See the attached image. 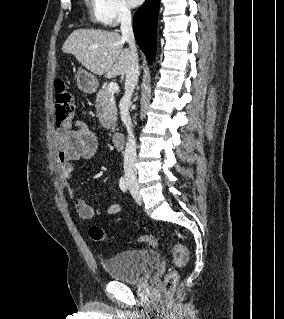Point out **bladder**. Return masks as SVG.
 <instances>
[{
	"label": "bladder",
	"instance_id": "31cf9c89",
	"mask_svg": "<svg viewBox=\"0 0 284 319\" xmlns=\"http://www.w3.org/2000/svg\"><path fill=\"white\" fill-rule=\"evenodd\" d=\"M158 253L152 249L125 250L104 260L107 274L121 282H136L150 273L159 265Z\"/></svg>",
	"mask_w": 284,
	"mask_h": 319
}]
</instances>
